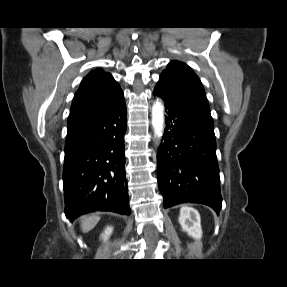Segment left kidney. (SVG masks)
<instances>
[{
  "label": "left kidney",
  "instance_id": "1",
  "mask_svg": "<svg viewBox=\"0 0 287 287\" xmlns=\"http://www.w3.org/2000/svg\"><path fill=\"white\" fill-rule=\"evenodd\" d=\"M179 223L183 231L195 239L202 237L200 214L194 208L182 207L180 209Z\"/></svg>",
  "mask_w": 287,
  "mask_h": 287
}]
</instances>
